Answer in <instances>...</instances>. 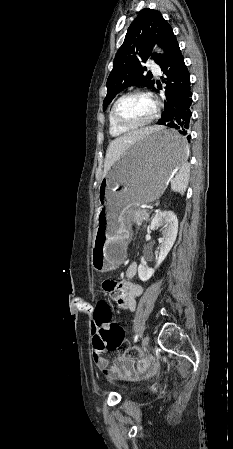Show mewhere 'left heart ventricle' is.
<instances>
[{"mask_svg":"<svg viewBox=\"0 0 233 449\" xmlns=\"http://www.w3.org/2000/svg\"><path fill=\"white\" fill-rule=\"evenodd\" d=\"M153 112V103L141 95L123 99L117 106V118L126 124H137L147 120Z\"/></svg>","mask_w":233,"mask_h":449,"instance_id":"b2bd125f","label":"left heart ventricle"}]
</instances>
